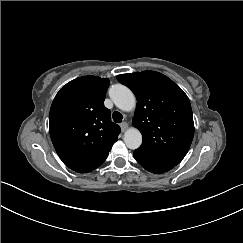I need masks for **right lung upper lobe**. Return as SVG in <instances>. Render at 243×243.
<instances>
[{
  "mask_svg": "<svg viewBox=\"0 0 243 243\" xmlns=\"http://www.w3.org/2000/svg\"><path fill=\"white\" fill-rule=\"evenodd\" d=\"M108 86L107 78L79 77L63 86L51 105V140L61 160L77 172L99 167L120 133L104 106Z\"/></svg>",
  "mask_w": 243,
  "mask_h": 243,
  "instance_id": "obj_1",
  "label": "right lung upper lobe"
}]
</instances>
